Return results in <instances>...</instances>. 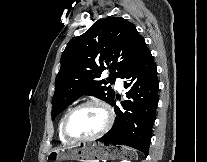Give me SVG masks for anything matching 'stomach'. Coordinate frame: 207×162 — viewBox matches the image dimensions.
I'll return each mask as SVG.
<instances>
[{
	"label": "stomach",
	"instance_id": "1",
	"mask_svg": "<svg viewBox=\"0 0 207 162\" xmlns=\"http://www.w3.org/2000/svg\"><path fill=\"white\" fill-rule=\"evenodd\" d=\"M134 153L126 147L113 145L85 143L67 149H55L47 157L49 162H64L75 160L78 162H99L102 160H121L133 157Z\"/></svg>",
	"mask_w": 207,
	"mask_h": 162
}]
</instances>
